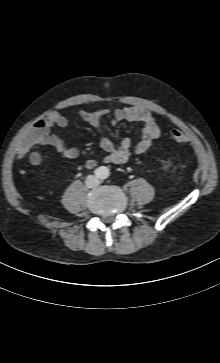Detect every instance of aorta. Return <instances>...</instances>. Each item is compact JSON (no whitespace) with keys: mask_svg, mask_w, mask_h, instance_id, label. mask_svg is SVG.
I'll return each instance as SVG.
<instances>
[{"mask_svg":"<svg viewBox=\"0 0 220 363\" xmlns=\"http://www.w3.org/2000/svg\"><path fill=\"white\" fill-rule=\"evenodd\" d=\"M101 170H102V172H103V173H105V174H108V173H109V170H108V168H106V167H102V168H101Z\"/></svg>","mask_w":220,"mask_h":363,"instance_id":"1","label":"aorta"}]
</instances>
